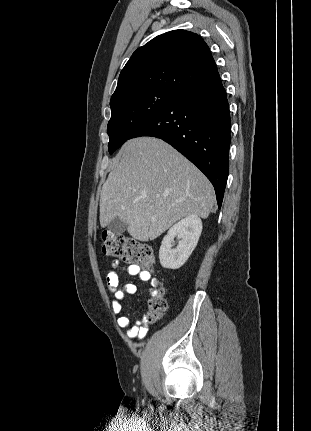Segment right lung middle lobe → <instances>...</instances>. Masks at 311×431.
Returning a JSON list of instances; mask_svg holds the SVG:
<instances>
[{"label":"right lung middle lobe","mask_w":311,"mask_h":431,"mask_svg":"<svg viewBox=\"0 0 311 431\" xmlns=\"http://www.w3.org/2000/svg\"><path fill=\"white\" fill-rule=\"evenodd\" d=\"M180 94L158 89L132 91L111 98V119L107 133L112 154L144 122L174 101Z\"/></svg>","instance_id":"right-lung-middle-lobe-1"}]
</instances>
